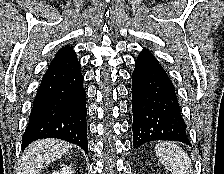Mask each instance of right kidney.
Segmentation results:
<instances>
[{"label": "right kidney", "mask_w": 224, "mask_h": 174, "mask_svg": "<svg viewBox=\"0 0 224 174\" xmlns=\"http://www.w3.org/2000/svg\"><path fill=\"white\" fill-rule=\"evenodd\" d=\"M52 174H73L71 166H63L60 171H54Z\"/></svg>", "instance_id": "ca27d5eb"}]
</instances>
